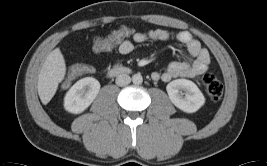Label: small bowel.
Returning a JSON list of instances; mask_svg holds the SVG:
<instances>
[{
  "mask_svg": "<svg viewBox=\"0 0 267 166\" xmlns=\"http://www.w3.org/2000/svg\"><path fill=\"white\" fill-rule=\"evenodd\" d=\"M177 41L185 45L191 59L186 61H174L170 63L164 72L155 71L151 74V78L154 81L169 82L173 79H197L207 69L210 63V55L206 48L196 40L188 31H181L176 35L163 29H152L146 32H136L130 38H127L124 42L118 43V52L121 55L130 54L135 44L143 43L146 41ZM80 75L78 66L73 69ZM89 72H92V68L89 67Z\"/></svg>",
  "mask_w": 267,
  "mask_h": 166,
  "instance_id": "small-bowel-1",
  "label": "small bowel"
}]
</instances>
